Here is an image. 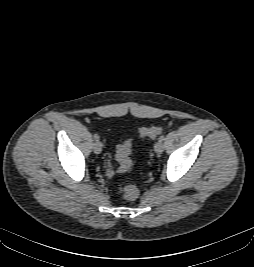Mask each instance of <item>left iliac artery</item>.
Wrapping results in <instances>:
<instances>
[{"mask_svg": "<svg viewBox=\"0 0 254 267\" xmlns=\"http://www.w3.org/2000/svg\"><path fill=\"white\" fill-rule=\"evenodd\" d=\"M163 140H165V136L164 135L159 137V141H163Z\"/></svg>", "mask_w": 254, "mask_h": 267, "instance_id": "obj_1", "label": "left iliac artery"}]
</instances>
